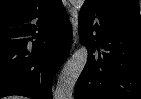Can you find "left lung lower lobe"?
Masks as SVG:
<instances>
[{"label":"left lung lower lobe","mask_w":141,"mask_h":99,"mask_svg":"<svg viewBox=\"0 0 141 99\" xmlns=\"http://www.w3.org/2000/svg\"><path fill=\"white\" fill-rule=\"evenodd\" d=\"M79 31L89 55L74 99H141L140 20L114 17L84 4Z\"/></svg>","instance_id":"0a47b994"}]
</instances>
